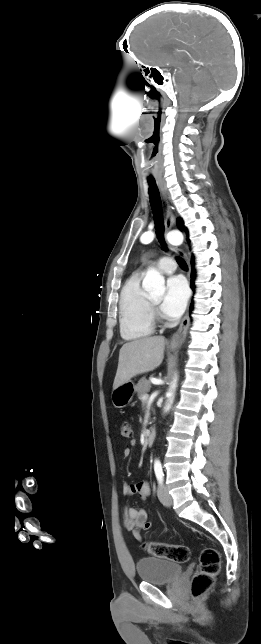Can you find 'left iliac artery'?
<instances>
[{"mask_svg": "<svg viewBox=\"0 0 261 644\" xmlns=\"http://www.w3.org/2000/svg\"><path fill=\"white\" fill-rule=\"evenodd\" d=\"M154 471L158 482L162 484L164 474H163L161 462L159 460H155L154 462Z\"/></svg>", "mask_w": 261, "mask_h": 644, "instance_id": "44dca946", "label": "left iliac artery"}]
</instances>
